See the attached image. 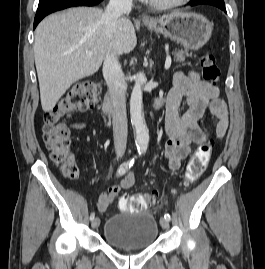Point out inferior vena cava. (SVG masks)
I'll use <instances>...</instances> for the list:
<instances>
[{
  "mask_svg": "<svg viewBox=\"0 0 265 269\" xmlns=\"http://www.w3.org/2000/svg\"><path fill=\"white\" fill-rule=\"evenodd\" d=\"M131 8L132 0L109 1L104 14L106 33L109 40L112 39L119 18L122 15L129 14ZM103 76L109 88L113 107L112 123L115 152L117 158H121L126 150L128 125L125 91L122 82L123 74L117 55L112 50L104 58Z\"/></svg>",
  "mask_w": 265,
  "mask_h": 269,
  "instance_id": "inferior-vena-cava-1",
  "label": "inferior vena cava"
}]
</instances>
